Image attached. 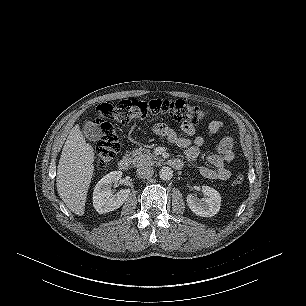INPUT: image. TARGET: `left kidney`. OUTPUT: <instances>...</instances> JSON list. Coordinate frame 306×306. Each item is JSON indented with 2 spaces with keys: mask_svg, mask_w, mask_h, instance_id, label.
Masks as SVG:
<instances>
[{
  "mask_svg": "<svg viewBox=\"0 0 306 306\" xmlns=\"http://www.w3.org/2000/svg\"><path fill=\"white\" fill-rule=\"evenodd\" d=\"M204 198L199 199L194 195L187 196V204L191 211L198 216L212 217L220 209L221 196L220 193L209 186H202Z\"/></svg>",
  "mask_w": 306,
  "mask_h": 306,
  "instance_id": "1",
  "label": "left kidney"
}]
</instances>
